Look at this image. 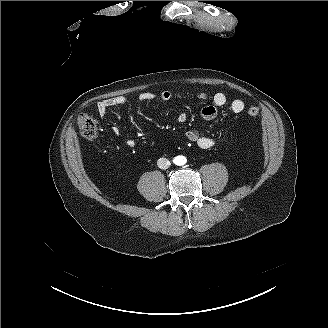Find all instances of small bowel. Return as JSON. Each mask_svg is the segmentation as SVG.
Returning <instances> with one entry per match:
<instances>
[{
	"label": "small bowel",
	"mask_w": 328,
	"mask_h": 328,
	"mask_svg": "<svg viewBox=\"0 0 328 328\" xmlns=\"http://www.w3.org/2000/svg\"><path fill=\"white\" fill-rule=\"evenodd\" d=\"M173 93L169 90H163L159 93L146 91L138 96V100L140 102H149L154 100L167 101L173 97ZM178 97H184L185 94L182 92L176 93ZM195 98L201 101L210 100L212 105H208L204 107L201 111V118L204 121H210L217 117L218 115V107L224 106L228 103L227 97L222 92H217L212 95L206 92H198L195 95ZM127 103V99L124 96H117L108 99H104L98 102L96 109L98 114L103 117L107 111L114 107L123 106ZM229 107L231 111L234 113L242 112L245 109V103L241 99H234L229 103ZM187 120V114L185 112H181L177 116V121L185 122ZM112 132L115 135H119L120 131L117 127H113ZM185 138L190 142H194L201 149H210L214 146L215 141L212 137L205 135L200 129L193 128L189 129L184 134ZM125 144L128 147H134L135 141L133 139H127Z\"/></svg>",
	"instance_id": "c3829d8e"
}]
</instances>
